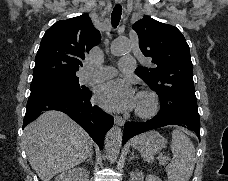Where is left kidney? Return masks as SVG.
I'll return each mask as SVG.
<instances>
[{"label":"left kidney","instance_id":"5707ae66","mask_svg":"<svg viewBox=\"0 0 228 181\" xmlns=\"http://www.w3.org/2000/svg\"><path fill=\"white\" fill-rule=\"evenodd\" d=\"M129 181H144V175L141 171L140 173H138V171H136V173H130ZM145 181H161V179H158L155 175H147V177H145Z\"/></svg>","mask_w":228,"mask_h":181}]
</instances>
